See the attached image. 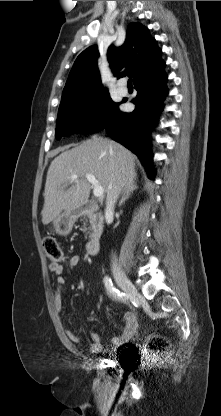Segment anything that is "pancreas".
<instances>
[{
  "mask_svg": "<svg viewBox=\"0 0 221 416\" xmlns=\"http://www.w3.org/2000/svg\"><path fill=\"white\" fill-rule=\"evenodd\" d=\"M85 216L87 217L85 220L86 222L89 221L90 226L88 228V230H94L97 233H101L102 232V228H103V217L101 215V213H95L93 210H89L85 213ZM84 226H86V223L84 222ZM85 230H87V228L85 227ZM93 234H91L92 236Z\"/></svg>",
  "mask_w": 221,
  "mask_h": 416,
  "instance_id": "pancreas-1",
  "label": "pancreas"
}]
</instances>
